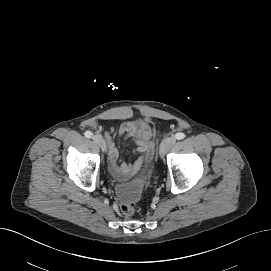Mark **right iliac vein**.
<instances>
[{
  "instance_id": "1",
  "label": "right iliac vein",
  "mask_w": 271,
  "mask_h": 271,
  "mask_svg": "<svg viewBox=\"0 0 271 271\" xmlns=\"http://www.w3.org/2000/svg\"><path fill=\"white\" fill-rule=\"evenodd\" d=\"M92 139L103 151H105L106 146H105V141L102 138V136L94 135Z\"/></svg>"
}]
</instances>
